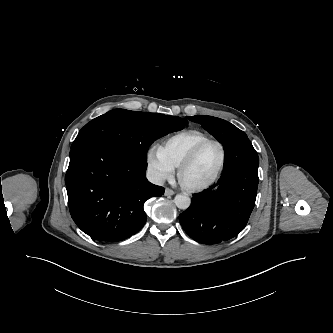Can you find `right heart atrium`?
I'll return each instance as SVG.
<instances>
[{
    "label": "right heart atrium",
    "instance_id": "d8ad5b80",
    "mask_svg": "<svg viewBox=\"0 0 333 333\" xmlns=\"http://www.w3.org/2000/svg\"><path fill=\"white\" fill-rule=\"evenodd\" d=\"M146 164L150 175L157 182L170 179L175 167L162 155L158 147H151L146 153Z\"/></svg>",
    "mask_w": 333,
    "mask_h": 333
}]
</instances>
